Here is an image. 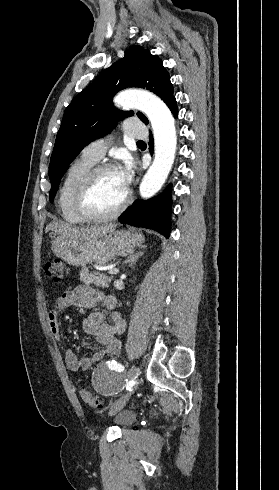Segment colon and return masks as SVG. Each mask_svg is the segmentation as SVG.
I'll use <instances>...</instances> for the list:
<instances>
[{
    "instance_id": "colon-1",
    "label": "colon",
    "mask_w": 279,
    "mask_h": 490,
    "mask_svg": "<svg viewBox=\"0 0 279 490\" xmlns=\"http://www.w3.org/2000/svg\"><path fill=\"white\" fill-rule=\"evenodd\" d=\"M62 267L63 264L60 260H52L47 262L44 266V273L54 278L56 281L61 280L62 278ZM80 396L82 401L92 408H101L102 402L98 399V397L89 389L81 388Z\"/></svg>"
}]
</instances>
